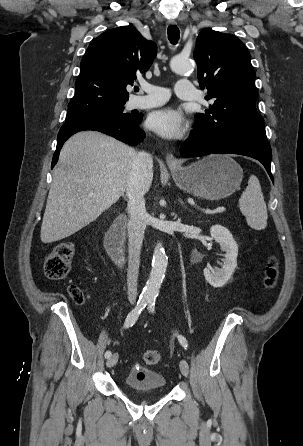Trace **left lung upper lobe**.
Instances as JSON below:
<instances>
[{"label": "left lung upper lobe", "instance_id": "1", "mask_svg": "<svg viewBox=\"0 0 303 446\" xmlns=\"http://www.w3.org/2000/svg\"><path fill=\"white\" fill-rule=\"evenodd\" d=\"M194 58L201 89L214 104L195 116V129L213 134L267 141L262 116L256 110L255 72L244 44L232 34L212 29L200 32Z\"/></svg>", "mask_w": 303, "mask_h": 446}]
</instances>
